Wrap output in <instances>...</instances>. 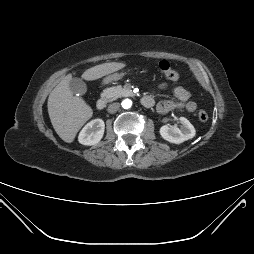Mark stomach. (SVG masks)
Segmentation results:
<instances>
[{
  "instance_id": "stomach-1",
  "label": "stomach",
  "mask_w": 254,
  "mask_h": 254,
  "mask_svg": "<svg viewBox=\"0 0 254 254\" xmlns=\"http://www.w3.org/2000/svg\"><path fill=\"white\" fill-rule=\"evenodd\" d=\"M124 75H125L124 72L112 74V75H110V76H108V77H106V78L104 79V83H109V82H111V81L119 80V79H121Z\"/></svg>"
}]
</instances>
